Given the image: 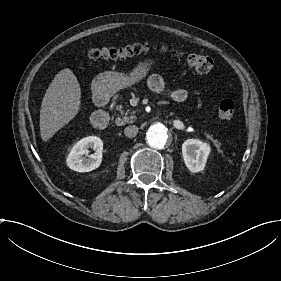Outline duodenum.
Segmentation results:
<instances>
[{"mask_svg": "<svg viewBox=\"0 0 281 281\" xmlns=\"http://www.w3.org/2000/svg\"><path fill=\"white\" fill-rule=\"evenodd\" d=\"M109 101V95L105 90H97L94 93V102L97 106V110L93 113L91 121L93 125L99 129H105L108 127L110 117L105 110V106Z\"/></svg>", "mask_w": 281, "mask_h": 281, "instance_id": "410a0bca", "label": "duodenum"}]
</instances>
